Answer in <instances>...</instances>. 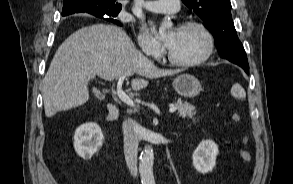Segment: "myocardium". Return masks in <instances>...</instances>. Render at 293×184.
Instances as JSON below:
<instances>
[{"label":"myocardium","mask_w":293,"mask_h":184,"mask_svg":"<svg viewBox=\"0 0 293 184\" xmlns=\"http://www.w3.org/2000/svg\"><path fill=\"white\" fill-rule=\"evenodd\" d=\"M189 28H196L203 33V35L206 38V49L200 57H198L194 60L177 59L176 57H174L171 54L170 51H168L167 52L168 60L177 66L193 67V66L200 65L210 58V56L213 54L214 49H215L214 36H213L212 32L210 31V29L205 24L198 22V21H187V22L182 23L179 26V29H189Z\"/></svg>","instance_id":"f54148a6"}]
</instances>
